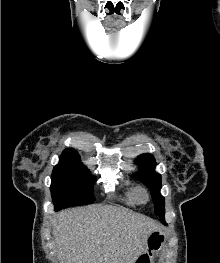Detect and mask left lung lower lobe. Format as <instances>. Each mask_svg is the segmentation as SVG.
I'll return each instance as SVG.
<instances>
[{"mask_svg":"<svg viewBox=\"0 0 220 263\" xmlns=\"http://www.w3.org/2000/svg\"><path fill=\"white\" fill-rule=\"evenodd\" d=\"M161 221H162V223H163L164 225H167V224L165 223L164 218H162Z\"/></svg>","mask_w":220,"mask_h":263,"instance_id":"obj_1","label":"left lung lower lobe"}]
</instances>
